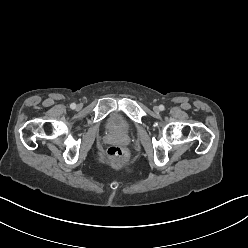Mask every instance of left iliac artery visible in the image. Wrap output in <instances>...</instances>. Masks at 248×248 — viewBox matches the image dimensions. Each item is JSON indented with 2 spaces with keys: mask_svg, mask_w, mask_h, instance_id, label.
I'll use <instances>...</instances> for the list:
<instances>
[{
  "mask_svg": "<svg viewBox=\"0 0 248 248\" xmlns=\"http://www.w3.org/2000/svg\"><path fill=\"white\" fill-rule=\"evenodd\" d=\"M159 109H160L161 111H163V110L165 109V107H164L163 105H160V106H159Z\"/></svg>",
  "mask_w": 248,
  "mask_h": 248,
  "instance_id": "left-iliac-artery-1",
  "label": "left iliac artery"
}]
</instances>
